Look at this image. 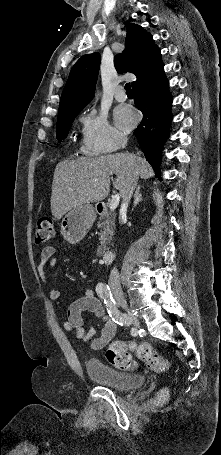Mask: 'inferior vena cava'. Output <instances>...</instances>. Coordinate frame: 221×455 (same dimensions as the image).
<instances>
[{
	"mask_svg": "<svg viewBox=\"0 0 221 455\" xmlns=\"http://www.w3.org/2000/svg\"><path fill=\"white\" fill-rule=\"evenodd\" d=\"M126 144H127V137L120 136L119 137V145L121 147H125ZM137 181H138V173H137V171H134V172H132L129 175L127 184L125 186V190H124V192L122 194V204H121L120 217H119L120 221L122 220V218L124 216H126L128 204H129L130 199L132 197L133 191L136 188ZM109 285L111 287L120 288V276H119L118 269L116 267H114L111 270V273H110V276H109Z\"/></svg>",
	"mask_w": 221,
	"mask_h": 455,
	"instance_id": "602c4592",
	"label": "inferior vena cava"
}]
</instances>
